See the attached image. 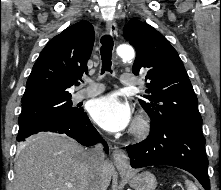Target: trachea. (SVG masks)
Wrapping results in <instances>:
<instances>
[{
    "label": "trachea",
    "instance_id": "1",
    "mask_svg": "<svg viewBox=\"0 0 221 190\" xmlns=\"http://www.w3.org/2000/svg\"><path fill=\"white\" fill-rule=\"evenodd\" d=\"M101 48H100V53H101V59H102V69L101 73L103 74L104 72H111V57H112V50H113V39L111 35H104L101 38Z\"/></svg>",
    "mask_w": 221,
    "mask_h": 190
}]
</instances>
